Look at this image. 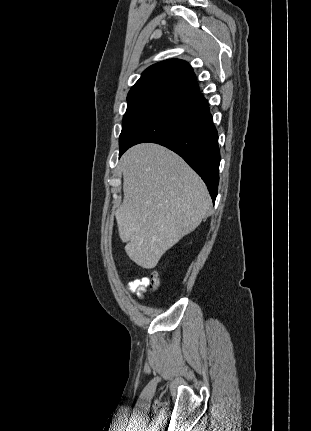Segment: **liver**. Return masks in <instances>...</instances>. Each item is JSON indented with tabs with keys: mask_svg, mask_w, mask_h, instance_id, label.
<instances>
[{
	"mask_svg": "<svg viewBox=\"0 0 311 431\" xmlns=\"http://www.w3.org/2000/svg\"><path fill=\"white\" fill-rule=\"evenodd\" d=\"M124 200L116 210L119 237L137 265L152 269L161 255L206 216L211 200L184 160L157 144H139L120 160Z\"/></svg>",
	"mask_w": 311,
	"mask_h": 431,
	"instance_id": "obj_1",
	"label": "liver"
}]
</instances>
